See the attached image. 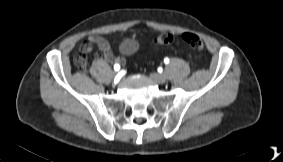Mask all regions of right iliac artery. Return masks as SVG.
Instances as JSON below:
<instances>
[{
    "instance_id": "obj_1",
    "label": "right iliac artery",
    "mask_w": 283,
    "mask_h": 162,
    "mask_svg": "<svg viewBox=\"0 0 283 162\" xmlns=\"http://www.w3.org/2000/svg\"><path fill=\"white\" fill-rule=\"evenodd\" d=\"M119 69H120V65H119V64H115V65H114V70H115V71H118Z\"/></svg>"
}]
</instances>
